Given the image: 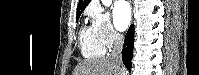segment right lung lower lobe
Segmentation results:
<instances>
[{"instance_id":"98d812e1","label":"right lung lower lobe","mask_w":199,"mask_h":75,"mask_svg":"<svg viewBox=\"0 0 199 75\" xmlns=\"http://www.w3.org/2000/svg\"><path fill=\"white\" fill-rule=\"evenodd\" d=\"M134 25H131L124 40L122 59L124 65L131 71V60L133 55Z\"/></svg>"}]
</instances>
